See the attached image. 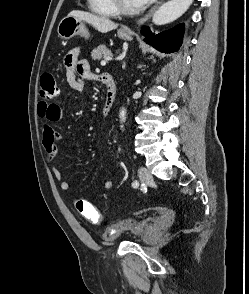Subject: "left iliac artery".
<instances>
[{
  "label": "left iliac artery",
  "mask_w": 249,
  "mask_h": 294,
  "mask_svg": "<svg viewBox=\"0 0 249 294\" xmlns=\"http://www.w3.org/2000/svg\"><path fill=\"white\" fill-rule=\"evenodd\" d=\"M138 185H139V183H138L137 181H134V182L132 183V186H133L134 188L138 187Z\"/></svg>",
  "instance_id": "left-iliac-artery-1"
}]
</instances>
